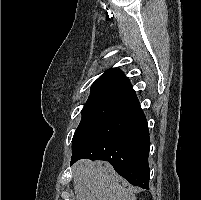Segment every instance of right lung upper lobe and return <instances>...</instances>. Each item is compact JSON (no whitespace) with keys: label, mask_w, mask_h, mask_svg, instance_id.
I'll return each mask as SVG.
<instances>
[{"label":"right lung upper lobe","mask_w":201,"mask_h":200,"mask_svg":"<svg viewBox=\"0 0 201 200\" xmlns=\"http://www.w3.org/2000/svg\"><path fill=\"white\" fill-rule=\"evenodd\" d=\"M109 92L127 97L131 100L137 99L130 81L119 69H110L104 72L91 87V93Z\"/></svg>","instance_id":"cb5924a9"}]
</instances>
